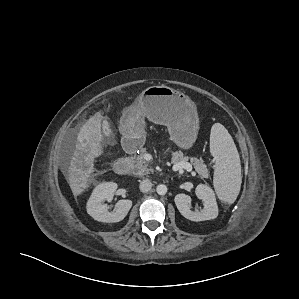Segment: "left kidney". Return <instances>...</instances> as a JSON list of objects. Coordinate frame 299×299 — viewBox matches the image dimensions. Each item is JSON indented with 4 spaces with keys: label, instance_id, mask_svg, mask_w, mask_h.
Listing matches in <instances>:
<instances>
[{
    "label": "left kidney",
    "instance_id": "left-kidney-1",
    "mask_svg": "<svg viewBox=\"0 0 299 299\" xmlns=\"http://www.w3.org/2000/svg\"><path fill=\"white\" fill-rule=\"evenodd\" d=\"M196 196L204 201V208L201 211L190 209L191 197L186 194H177L175 204L179 212L191 221H205L215 219L218 216V206L214 191L207 185L199 184L195 189Z\"/></svg>",
    "mask_w": 299,
    "mask_h": 299
}]
</instances>
